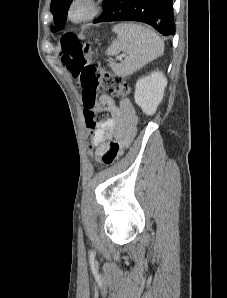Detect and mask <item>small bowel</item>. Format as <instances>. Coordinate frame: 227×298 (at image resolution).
<instances>
[{
    "mask_svg": "<svg viewBox=\"0 0 227 298\" xmlns=\"http://www.w3.org/2000/svg\"><path fill=\"white\" fill-rule=\"evenodd\" d=\"M100 104L103 110L110 113V117L98 124L94 131L95 159L104 162V167H113V162L120 159L123 149L132 143L137 132L138 117L127 99L117 105L113 98L102 95Z\"/></svg>",
    "mask_w": 227,
    "mask_h": 298,
    "instance_id": "1",
    "label": "small bowel"
}]
</instances>
